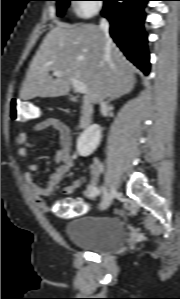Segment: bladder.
Instances as JSON below:
<instances>
[{
    "label": "bladder",
    "mask_w": 180,
    "mask_h": 299,
    "mask_svg": "<svg viewBox=\"0 0 180 299\" xmlns=\"http://www.w3.org/2000/svg\"><path fill=\"white\" fill-rule=\"evenodd\" d=\"M74 245L96 253H113L125 243L127 230L123 222L111 216L79 217L65 229Z\"/></svg>",
    "instance_id": "obj_1"
}]
</instances>
